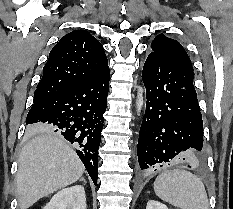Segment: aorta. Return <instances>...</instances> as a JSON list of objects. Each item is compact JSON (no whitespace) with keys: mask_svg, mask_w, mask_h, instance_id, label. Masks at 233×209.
<instances>
[{"mask_svg":"<svg viewBox=\"0 0 233 209\" xmlns=\"http://www.w3.org/2000/svg\"><path fill=\"white\" fill-rule=\"evenodd\" d=\"M143 93H144L143 87H138L137 99H136V108L138 113L141 111L144 104Z\"/></svg>","mask_w":233,"mask_h":209,"instance_id":"aorta-1","label":"aorta"}]
</instances>
